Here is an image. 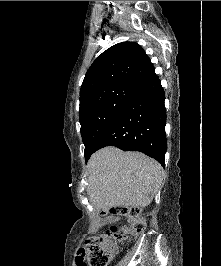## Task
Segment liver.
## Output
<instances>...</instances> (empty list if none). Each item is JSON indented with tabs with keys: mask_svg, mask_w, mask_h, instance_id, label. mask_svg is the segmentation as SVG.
Instances as JSON below:
<instances>
[{
	"mask_svg": "<svg viewBox=\"0 0 221 266\" xmlns=\"http://www.w3.org/2000/svg\"><path fill=\"white\" fill-rule=\"evenodd\" d=\"M90 200L99 209L146 207L156 195L164 176L162 166L139 152L106 147L87 164Z\"/></svg>",
	"mask_w": 221,
	"mask_h": 266,
	"instance_id": "6515ba94",
	"label": "liver"
}]
</instances>
